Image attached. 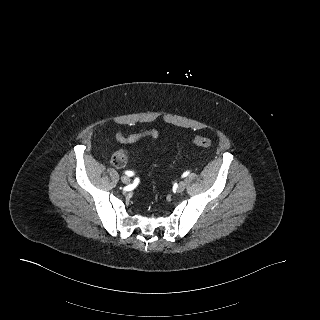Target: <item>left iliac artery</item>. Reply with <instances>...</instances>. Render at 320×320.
Wrapping results in <instances>:
<instances>
[{
	"label": "left iliac artery",
	"mask_w": 320,
	"mask_h": 320,
	"mask_svg": "<svg viewBox=\"0 0 320 320\" xmlns=\"http://www.w3.org/2000/svg\"><path fill=\"white\" fill-rule=\"evenodd\" d=\"M189 171H186V172H184V174L182 175V177H186V176H188L189 175Z\"/></svg>",
	"instance_id": "obj_1"
}]
</instances>
